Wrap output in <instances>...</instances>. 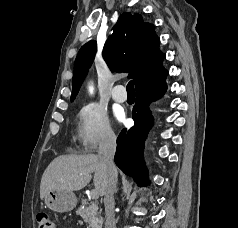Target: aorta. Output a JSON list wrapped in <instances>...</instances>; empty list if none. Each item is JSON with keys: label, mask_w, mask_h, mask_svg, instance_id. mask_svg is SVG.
<instances>
[{"label": "aorta", "mask_w": 238, "mask_h": 228, "mask_svg": "<svg viewBox=\"0 0 238 228\" xmlns=\"http://www.w3.org/2000/svg\"><path fill=\"white\" fill-rule=\"evenodd\" d=\"M89 90H90V92L92 93V92H93V87H90Z\"/></svg>", "instance_id": "1"}]
</instances>
